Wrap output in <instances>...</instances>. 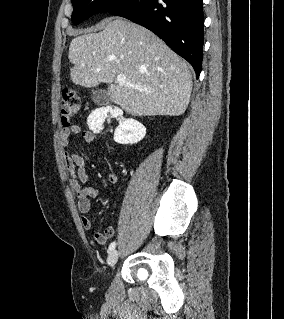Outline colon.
Wrapping results in <instances>:
<instances>
[{
	"label": "colon",
	"instance_id": "colon-1",
	"mask_svg": "<svg viewBox=\"0 0 284 319\" xmlns=\"http://www.w3.org/2000/svg\"><path fill=\"white\" fill-rule=\"evenodd\" d=\"M81 100L75 91L66 89L60 98V116L63 127L70 125L71 119L80 111Z\"/></svg>",
	"mask_w": 284,
	"mask_h": 319
}]
</instances>
